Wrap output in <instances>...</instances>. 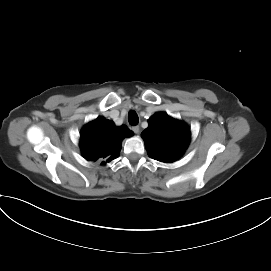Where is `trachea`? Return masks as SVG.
<instances>
[{
    "instance_id": "1",
    "label": "trachea",
    "mask_w": 271,
    "mask_h": 271,
    "mask_svg": "<svg viewBox=\"0 0 271 271\" xmlns=\"http://www.w3.org/2000/svg\"><path fill=\"white\" fill-rule=\"evenodd\" d=\"M128 120L132 126L137 125L139 122V118H138L137 113L135 111H130L128 114Z\"/></svg>"
}]
</instances>
